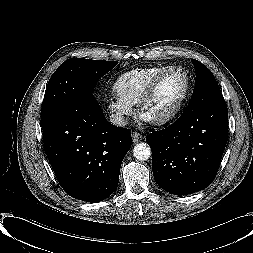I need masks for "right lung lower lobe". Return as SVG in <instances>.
I'll use <instances>...</instances> for the list:
<instances>
[{"label": "right lung lower lobe", "instance_id": "1", "mask_svg": "<svg viewBox=\"0 0 253 253\" xmlns=\"http://www.w3.org/2000/svg\"><path fill=\"white\" fill-rule=\"evenodd\" d=\"M42 130L46 155L68 195L99 202L116 190L131 134L106 120L92 94L71 101Z\"/></svg>", "mask_w": 253, "mask_h": 253}]
</instances>
